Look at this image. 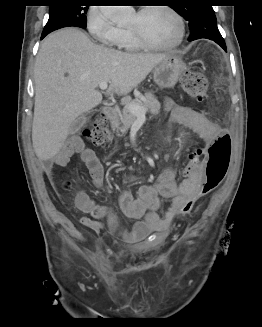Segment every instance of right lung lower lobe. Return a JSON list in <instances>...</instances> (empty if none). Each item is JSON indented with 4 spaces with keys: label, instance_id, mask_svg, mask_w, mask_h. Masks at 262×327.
Masks as SVG:
<instances>
[{
    "label": "right lung lower lobe",
    "instance_id": "right-lung-lower-lobe-1",
    "mask_svg": "<svg viewBox=\"0 0 262 327\" xmlns=\"http://www.w3.org/2000/svg\"><path fill=\"white\" fill-rule=\"evenodd\" d=\"M49 33H42L41 39H43Z\"/></svg>",
    "mask_w": 262,
    "mask_h": 327
}]
</instances>
